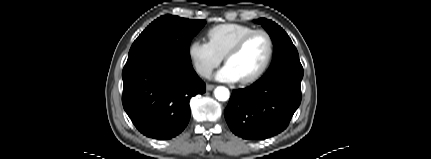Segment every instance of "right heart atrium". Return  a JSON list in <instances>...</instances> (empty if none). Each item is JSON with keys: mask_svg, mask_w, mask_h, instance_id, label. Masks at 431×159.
Wrapping results in <instances>:
<instances>
[{"mask_svg": "<svg viewBox=\"0 0 431 159\" xmlns=\"http://www.w3.org/2000/svg\"><path fill=\"white\" fill-rule=\"evenodd\" d=\"M188 56L196 72L204 78H208L223 59L209 42L202 39H194L190 42Z\"/></svg>", "mask_w": 431, "mask_h": 159, "instance_id": "right-heart-atrium-1", "label": "right heart atrium"}]
</instances>
